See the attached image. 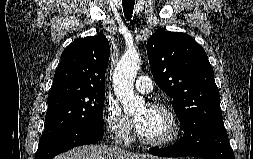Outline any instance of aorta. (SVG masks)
Segmentation results:
<instances>
[{
    "label": "aorta",
    "instance_id": "aorta-1",
    "mask_svg": "<svg viewBox=\"0 0 253 159\" xmlns=\"http://www.w3.org/2000/svg\"><path fill=\"white\" fill-rule=\"evenodd\" d=\"M140 66L136 51H127L120 59L113 74V88L126 114H133L144 106V100L136 96L133 83Z\"/></svg>",
    "mask_w": 253,
    "mask_h": 159
}]
</instances>
